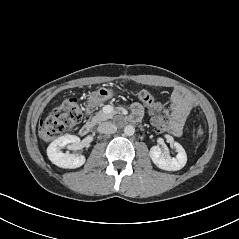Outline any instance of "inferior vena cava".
Instances as JSON below:
<instances>
[{
    "instance_id": "1",
    "label": "inferior vena cava",
    "mask_w": 239,
    "mask_h": 239,
    "mask_svg": "<svg viewBox=\"0 0 239 239\" xmlns=\"http://www.w3.org/2000/svg\"><path fill=\"white\" fill-rule=\"evenodd\" d=\"M117 131V127L111 122H104L99 125L98 132L103 134H112Z\"/></svg>"
}]
</instances>
